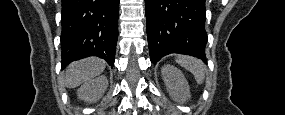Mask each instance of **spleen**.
<instances>
[{
	"mask_svg": "<svg viewBox=\"0 0 285 115\" xmlns=\"http://www.w3.org/2000/svg\"><path fill=\"white\" fill-rule=\"evenodd\" d=\"M176 62L180 66L189 70L194 75L198 84H202L204 82L206 66L201 60L190 56L179 55L176 58Z\"/></svg>",
	"mask_w": 285,
	"mask_h": 115,
	"instance_id": "1",
	"label": "spleen"
}]
</instances>
